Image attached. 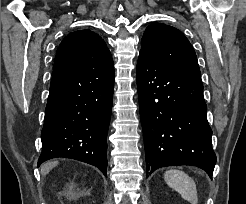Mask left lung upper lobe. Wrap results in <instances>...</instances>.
<instances>
[{"label": "left lung upper lobe", "mask_w": 246, "mask_h": 204, "mask_svg": "<svg viewBox=\"0 0 246 204\" xmlns=\"http://www.w3.org/2000/svg\"><path fill=\"white\" fill-rule=\"evenodd\" d=\"M139 57L160 66L200 75L190 42L181 31L169 25L153 23L146 28Z\"/></svg>", "instance_id": "obj_1"}]
</instances>
